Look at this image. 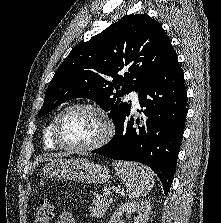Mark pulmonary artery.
<instances>
[{"mask_svg": "<svg viewBox=\"0 0 221 223\" xmlns=\"http://www.w3.org/2000/svg\"><path fill=\"white\" fill-rule=\"evenodd\" d=\"M126 98L131 100L133 110H136L139 108V97H138V93L136 91L130 92L128 95H126Z\"/></svg>", "mask_w": 221, "mask_h": 223, "instance_id": "e3ab8cb5", "label": "pulmonary artery"}]
</instances>
